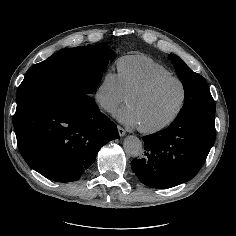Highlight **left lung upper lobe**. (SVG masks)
Instances as JSON below:
<instances>
[{"instance_id":"5c2ea615","label":"left lung upper lobe","mask_w":236,"mask_h":236,"mask_svg":"<svg viewBox=\"0 0 236 236\" xmlns=\"http://www.w3.org/2000/svg\"><path fill=\"white\" fill-rule=\"evenodd\" d=\"M176 73L184 87V105L176 118L188 114L215 115V102L205 79L193 72L178 56L169 54Z\"/></svg>"}]
</instances>
